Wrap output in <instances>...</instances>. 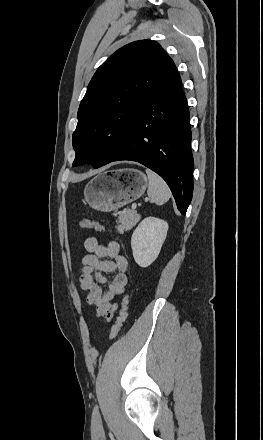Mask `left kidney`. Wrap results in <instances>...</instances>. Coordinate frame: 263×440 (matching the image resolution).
Segmentation results:
<instances>
[{"label":"left kidney","instance_id":"5707ae66","mask_svg":"<svg viewBox=\"0 0 263 440\" xmlns=\"http://www.w3.org/2000/svg\"><path fill=\"white\" fill-rule=\"evenodd\" d=\"M168 223L155 217H146L136 227L131 238L135 262L140 267L150 266L158 257L166 239Z\"/></svg>","mask_w":263,"mask_h":440}]
</instances>
